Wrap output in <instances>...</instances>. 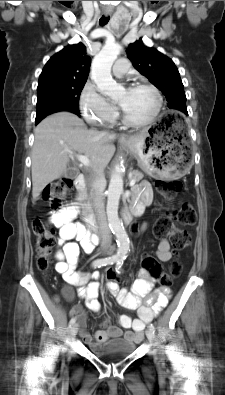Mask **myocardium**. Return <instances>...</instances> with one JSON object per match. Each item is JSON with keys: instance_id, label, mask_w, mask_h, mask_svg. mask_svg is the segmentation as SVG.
Returning a JSON list of instances; mask_svg holds the SVG:
<instances>
[{"instance_id": "f54148a6", "label": "myocardium", "mask_w": 225, "mask_h": 395, "mask_svg": "<svg viewBox=\"0 0 225 395\" xmlns=\"http://www.w3.org/2000/svg\"><path fill=\"white\" fill-rule=\"evenodd\" d=\"M137 88H145L150 90L154 97H155V107L154 110L152 112V114L143 121H139V122H135V121H131L129 120L124 113H122V122L129 126V127H133V128H141V127H145L150 125L151 123H153L156 118L158 117L161 108H162V97L160 94V91L157 89V87H155L154 85L147 83V82H136L134 83L130 89H137Z\"/></svg>"}]
</instances>
